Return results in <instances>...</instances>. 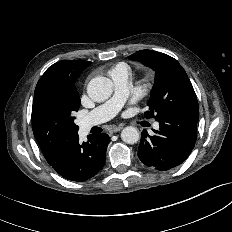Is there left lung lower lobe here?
Here are the masks:
<instances>
[{
    "mask_svg": "<svg viewBox=\"0 0 232 232\" xmlns=\"http://www.w3.org/2000/svg\"><path fill=\"white\" fill-rule=\"evenodd\" d=\"M157 121L155 135L142 132L138 157L146 166L166 171L184 162L194 148L198 113H172Z\"/></svg>",
    "mask_w": 232,
    "mask_h": 232,
    "instance_id": "0a47b994",
    "label": "left lung lower lobe"
}]
</instances>
